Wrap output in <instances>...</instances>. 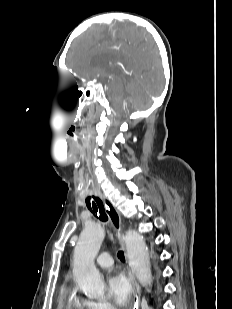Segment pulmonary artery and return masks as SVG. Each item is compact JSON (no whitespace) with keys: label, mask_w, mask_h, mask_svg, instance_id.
<instances>
[{"label":"pulmonary artery","mask_w":232,"mask_h":309,"mask_svg":"<svg viewBox=\"0 0 232 309\" xmlns=\"http://www.w3.org/2000/svg\"><path fill=\"white\" fill-rule=\"evenodd\" d=\"M97 265L100 268H109L113 265V260L109 253H103L97 260Z\"/></svg>","instance_id":"obj_1"}]
</instances>
